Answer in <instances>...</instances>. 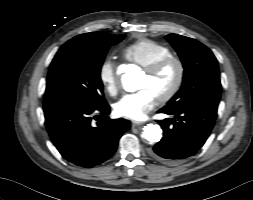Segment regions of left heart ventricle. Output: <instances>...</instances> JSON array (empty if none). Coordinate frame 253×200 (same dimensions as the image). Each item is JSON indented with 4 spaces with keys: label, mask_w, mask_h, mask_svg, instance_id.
Wrapping results in <instances>:
<instances>
[{
    "label": "left heart ventricle",
    "mask_w": 253,
    "mask_h": 200,
    "mask_svg": "<svg viewBox=\"0 0 253 200\" xmlns=\"http://www.w3.org/2000/svg\"><path fill=\"white\" fill-rule=\"evenodd\" d=\"M175 72V67L172 65L156 76H151L144 72L139 80L138 88L150 89L158 97L170 88L175 78Z\"/></svg>",
    "instance_id": "obj_1"
}]
</instances>
